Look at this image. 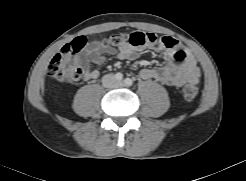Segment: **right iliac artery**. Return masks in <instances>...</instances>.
I'll use <instances>...</instances> for the list:
<instances>
[{
    "mask_svg": "<svg viewBox=\"0 0 246 181\" xmlns=\"http://www.w3.org/2000/svg\"><path fill=\"white\" fill-rule=\"evenodd\" d=\"M115 78H116L118 81H121V80L123 79L122 73L118 72V73L115 75Z\"/></svg>",
    "mask_w": 246,
    "mask_h": 181,
    "instance_id": "obj_1",
    "label": "right iliac artery"
}]
</instances>
